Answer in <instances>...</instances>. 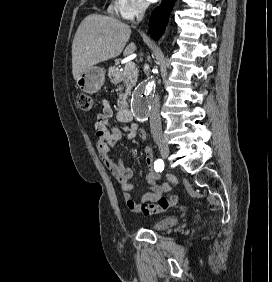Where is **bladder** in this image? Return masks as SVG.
I'll return each mask as SVG.
<instances>
[{"label": "bladder", "mask_w": 272, "mask_h": 282, "mask_svg": "<svg viewBox=\"0 0 272 282\" xmlns=\"http://www.w3.org/2000/svg\"><path fill=\"white\" fill-rule=\"evenodd\" d=\"M177 221H178L177 216H169V217L162 218L157 222L152 223L149 226V228L151 230H161V229L171 227L172 225L176 224Z\"/></svg>", "instance_id": "obj_1"}]
</instances>
